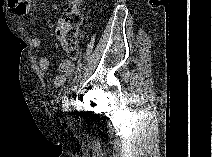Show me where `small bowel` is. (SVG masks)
Returning a JSON list of instances; mask_svg holds the SVG:
<instances>
[{
  "label": "small bowel",
  "instance_id": "c3829d8e",
  "mask_svg": "<svg viewBox=\"0 0 212 157\" xmlns=\"http://www.w3.org/2000/svg\"><path fill=\"white\" fill-rule=\"evenodd\" d=\"M8 6L13 10L16 15L24 16L28 12L29 3L25 0H8ZM67 28V23L64 18H60L56 24V37ZM41 45V39L33 38L31 40V46L38 48ZM50 66V60L48 57H40L38 60V68L41 72H46ZM74 70V62L71 59L63 60L59 65V73L51 79V84L56 87H62L67 78L72 74Z\"/></svg>",
  "mask_w": 212,
  "mask_h": 157
}]
</instances>
